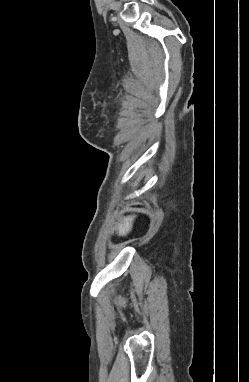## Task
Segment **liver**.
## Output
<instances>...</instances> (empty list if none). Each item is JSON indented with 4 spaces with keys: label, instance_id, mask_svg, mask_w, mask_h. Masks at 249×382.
<instances>
[{
    "label": "liver",
    "instance_id": "1",
    "mask_svg": "<svg viewBox=\"0 0 249 382\" xmlns=\"http://www.w3.org/2000/svg\"><path fill=\"white\" fill-rule=\"evenodd\" d=\"M134 219V215L125 217L121 223L116 226V233L119 236H126L132 230Z\"/></svg>",
    "mask_w": 249,
    "mask_h": 382
}]
</instances>
